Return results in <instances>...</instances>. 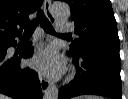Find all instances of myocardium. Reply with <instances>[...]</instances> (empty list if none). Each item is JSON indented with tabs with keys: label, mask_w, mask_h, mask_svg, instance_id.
I'll return each instance as SVG.
<instances>
[{
	"label": "myocardium",
	"mask_w": 128,
	"mask_h": 99,
	"mask_svg": "<svg viewBox=\"0 0 128 99\" xmlns=\"http://www.w3.org/2000/svg\"><path fill=\"white\" fill-rule=\"evenodd\" d=\"M71 77H72L71 75L67 76L66 80H69V79H71Z\"/></svg>",
	"instance_id": "obj_1"
}]
</instances>
